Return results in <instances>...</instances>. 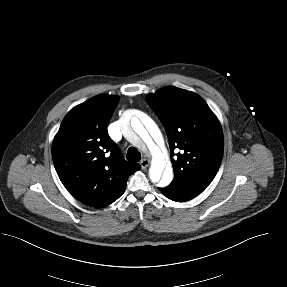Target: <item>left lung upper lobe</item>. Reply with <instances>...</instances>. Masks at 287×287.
Here are the masks:
<instances>
[{
  "mask_svg": "<svg viewBox=\"0 0 287 287\" xmlns=\"http://www.w3.org/2000/svg\"><path fill=\"white\" fill-rule=\"evenodd\" d=\"M146 101L169 139L174 170L171 185L198 196L222 161L223 132L218 119L199 95L177 87L160 89Z\"/></svg>",
  "mask_w": 287,
  "mask_h": 287,
  "instance_id": "left-lung-upper-lobe-1",
  "label": "left lung upper lobe"
}]
</instances>
